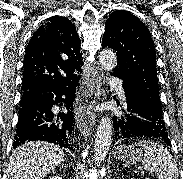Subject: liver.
Listing matches in <instances>:
<instances>
[{"label": "liver", "instance_id": "obj_1", "mask_svg": "<svg viewBox=\"0 0 183 179\" xmlns=\"http://www.w3.org/2000/svg\"><path fill=\"white\" fill-rule=\"evenodd\" d=\"M63 150L42 141L27 142L10 156L7 179H43L64 160Z\"/></svg>", "mask_w": 183, "mask_h": 179}]
</instances>
